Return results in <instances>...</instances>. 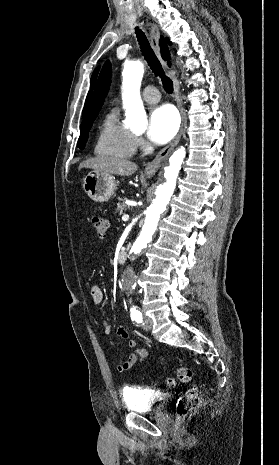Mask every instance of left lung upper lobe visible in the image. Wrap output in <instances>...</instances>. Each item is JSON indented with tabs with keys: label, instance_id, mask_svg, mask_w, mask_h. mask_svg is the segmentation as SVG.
Here are the masks:
<instances>
[{
	"label": "left lung upper lobe",
	"instance_id": "obj_1",
	"mask_svg": "<svg viewBox=\"0 0 279 465\" xmlns=\"http://www.w3.org/2000/svg\"><path fill=\"white\" fill-rule=\"evenodd\" d=\"M168 43L170 44V41H168ZM97 73H98V69H96V70L94 71L93 75H92V78H91V89H93V87H94V84H95V81H96V77H97ZM90 95H91V91H89V93H88L87 100H86V104H85V108L87 107V104H88Z\"/></svg>",
	"mask_w": 279,
	"mask_h": 465
}]
</instances>
